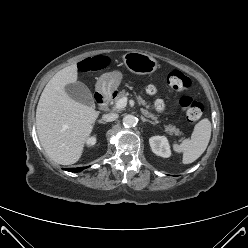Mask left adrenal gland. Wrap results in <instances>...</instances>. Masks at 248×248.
Segmentation results:
<instances>
[{"label":"left adrenal gland","instance_id":"a2214340","mask_svg":"<svg viewBox=\"0 0 248 248\" xmlns=\"http://www.w3.org/2000/svg\"><path fill=\"white\" fill-rule=\"evenodd\" d=\"M141 119H142V122H149V123H151V124H154L152 121H150V120L144 118L143 116H141Z\"/></svg>","mask_w":248,"mask_h":248}]
</instances>
